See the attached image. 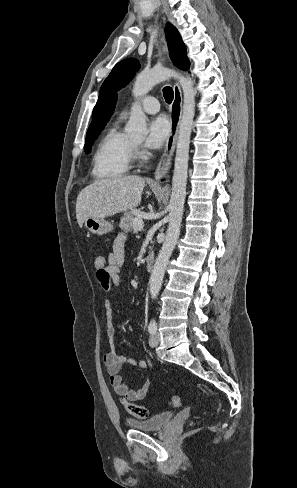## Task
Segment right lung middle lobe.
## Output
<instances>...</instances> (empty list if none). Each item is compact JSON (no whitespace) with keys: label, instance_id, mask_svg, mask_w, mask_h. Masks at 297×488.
Returning a JSON list of instances; mask_svg holds the SVG:
<instances>
[{"label":"right lung middle lobe","instance_id":"dd1d6c3e","mask_svg":"<svg viewBox=\"0 0 297 488\" xmlns=\"http://www.w3.org/2000/svg\"><path fill=\"white\" fill-rule=\"evenodd\" d=\"M104 125L99 127L97 130H95L91 135L86 137V143L84 146L85 152L88 154L91 152V147L93 145L94 140L98 137L100 132L102 131Z\"/></svg>","mask_w":297,"mask_h":488}]
</instances>
